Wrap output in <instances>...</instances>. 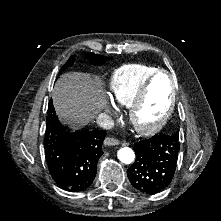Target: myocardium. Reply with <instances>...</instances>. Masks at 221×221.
<instances>
[{
	"mask_svg": "<svg viewBox=\"0 0 221 221\" xmlns=\"http://www.w3.org/2000/svg\"><path fill=\"white\" fill-rule=\"evenodd\" d=\"M161 74L167 75L170 79V82H171V96H170L169 106H168L166 112L164 113V115L162 116V118L158 122L151 124V125L139 124L137 122V114L140 111V109L142 108V106L144 105L153 82ZM175 104H176V90H175L174 77L169 71H167L165 69H158L141 86V88L139 89V91L136 94V97L134 98V100L132 101V103L129 106V115H130L131 124L133 125L135 130L142 135H152L154 133H157L158 131H160L164 127V125L169 120V118L174 110Z\"/></svg>",
	"mask_w": 221,
	"mask_h": 221,
	"instance_id": "myocardium-1",
	"label": "myocardium"
}]
</instances>
